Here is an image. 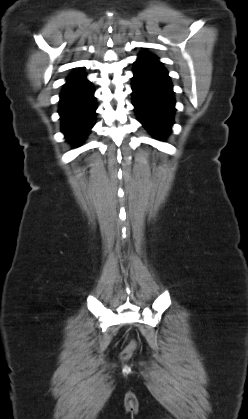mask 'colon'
Segmentation results:
<instances>
[{
	"instance_id": "colon-1",
	"label": "colon",
	"mask_w": 248,
	"mask_h": 419,
	"mask_svg": "<svg viewBox=\"0 0 248 419\" xmlns=\"http://www.w3.org/2000/svg\"><path fill=\"white\" fill-rule=\"evenodd\" d=\"M137 344L135 341H131L121 352V357L123 359H128L136 351Z\"/></svg>"
}]
</instances>
